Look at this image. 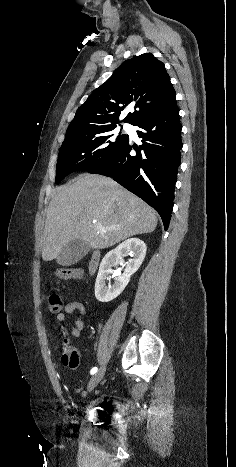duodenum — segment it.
<instances>
[{
    "label": "duodenum",
    "mask_w": 236,
    "mask_h": 467,
    "mask_svg": "<svg viewBox=\"0 0 236 467\" xmlns=\"http://www.w3.org/2000/svg\"><path fill=\"white\" fill-rule=\"evenodd\" d=\"M101 259V253L99 251H94L91 255V258L88 262L87 270L88 273L91 275L96 272L99 267Z\"/></svg>",
    "instance_id": "410a0bca"
}]
</instances>
